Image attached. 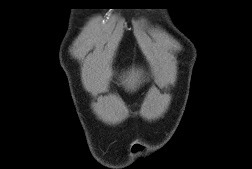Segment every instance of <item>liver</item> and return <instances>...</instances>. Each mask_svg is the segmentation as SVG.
Wrapping results in <instances>:
<instances>
[{"label":"liver","instance_id":"obj_1","mask_svg":"<svg viewBox=\"0 0 252 169\" xmlns=\"http://www.w3.org/2000/svg\"><path fill=\"white\" fill-rule=\"evenodd\" d=\"M107 78V72L100 66L95 65L88 74V87L100 90ZM142 82V71L132 69L124 77L123 84L127 89L135 90Z\"/></svg>","mask_w":252,"mask_h":169}]
</instances>
